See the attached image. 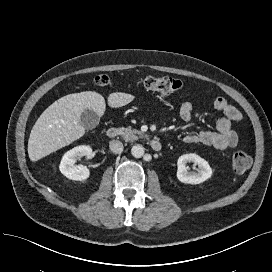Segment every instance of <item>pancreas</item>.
Here are the masks:
<instances>
[{
    "mask_svg": "<svg viewBox=\"0 0 272 272\" xmlns=\"http://www.w3.org/2000/svg\"><path fill=\"white\" fill-rule=\"evenodd\" d=\"M118 130H119V134L126 141H136L142 137L141 131L134 130L131 127H127V128L121 127Z\"/></svg>",
    "mask_w": 272,
    "mask_h": 272,
    "instance_id": "obj_1",
    "label": "pancreas"
}]
</instances>
